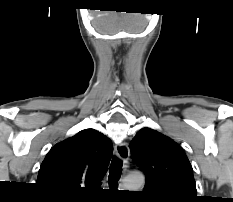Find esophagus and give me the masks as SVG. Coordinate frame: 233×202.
I'll return each instance as SVG.
<instances>
[{"label": "esophagus", "mask_w": 233, "mask_h": 202, "mask_svg": "<svg viewBox=\"0 0 233 202\" xmlns=\"http://www.w3.org/2000/svg\"><path fill=\"white\" fill-rule=\"evenodd\" d=\"M116 153L118 155V157L125 163L128 162L129 160V155H130V151H129V147L126 143L122 142V143H118L116 145Z\"/></svg>", "instance_id": "34e87169"}]
</instances>
